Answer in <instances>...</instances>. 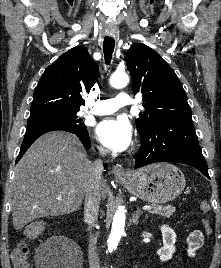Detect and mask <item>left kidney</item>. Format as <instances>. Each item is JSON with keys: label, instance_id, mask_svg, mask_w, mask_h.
I'll list each match as a JSON object with an SVG mask.
<instances>
[{"label": "left kidney", "instance_id": "left-kidney-1", "mask_svg": "<svg viewBox=\"0 0 221 268\" xmlns=\"http://www.w3.org/2000/svg\"><path fill=\"white\" fill-rule=\"evenodd\" d=\"M163 237V247L157 250V254L162 262L168 261L172 258L175 252L176 233L167 225L161 226Z\"/></svg>", "mask_w": 221, "mask_h": 268}]
</instances>
